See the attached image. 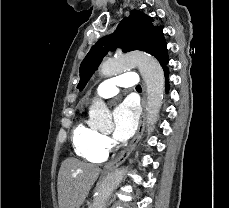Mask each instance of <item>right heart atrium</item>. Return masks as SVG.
<instances>
[{"instance_id": "right-heart-atrium-1", "label": "right heart atrium", "mask_w": 229, "mask_h": 208, "mask_svg": "<svg viewBox=\"0 0 229 208\" xmlns=\"http://www.w3.org/2000/svg\"><path fill=\"white\" fill-rule=\"evenodd\" d=\"M98 147L103 153H108L113 148V141L108 136L101 134Z\"/></svg>"}]
</instances>
